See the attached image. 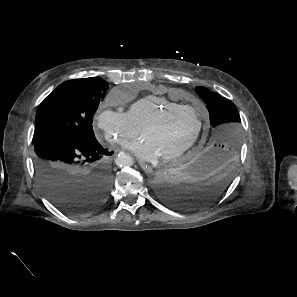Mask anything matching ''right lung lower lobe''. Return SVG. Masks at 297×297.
Wrapping results in <instances>:
<instances>
[{"label": "right lung lower lobe", "mask_w": 297, "mask_h": 297, "mask_svg": "<svg viewBox=\"0 0 297 297\" xmlns=\"http://www.w3.org/2000/svg\"><path fill=\"white\" fill-rule=\"evenodd\" d=\"M32 143L38 181L58 209L69 215H82L96 211L107 199L112 173L102 158L112 152L98 141L50 135Z\"/></svg>", "instance_id": "right-lung-lower-lobe-1"}]
</instances>
